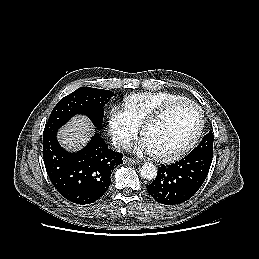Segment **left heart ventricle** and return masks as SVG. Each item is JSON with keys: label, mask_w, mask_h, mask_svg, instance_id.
<instances>
[{"label": "left heart ventricle", "mask_w": 259, "mask_h": 259, "mask_svg": "<svg viewBox=\"0 0 259 259\" xmlns=\"http://www.w3.org/2000/svg\"><path fill=\"white\" fill-rule=\"evenodd\" d=\"M199 124V113L191 105H180L158 122L147 127L143 138L153 153L163 154L176 150L187 142Z\"/></svg>", "instance_id": "obj_1"}]
</instances>
